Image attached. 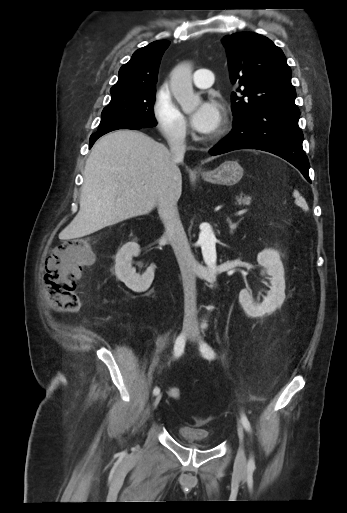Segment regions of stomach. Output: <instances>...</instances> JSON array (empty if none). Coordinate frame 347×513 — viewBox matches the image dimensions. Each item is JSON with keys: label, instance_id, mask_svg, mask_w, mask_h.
I'll use <instances>...</instances> for the list:
<instances>
[{"label": "stomach", "instance_id": "1", "mask_svg": "<svg viewBox=\"0 0 347 513\" xmlns=\"http://www.w3.org/2000/svg\"><path fill=\"white\" fill-rule=\"evenodd\" d=\"M244 170L236 160H227L215 170L202 175L207 182L219 185L233 186L243 177Z\"/></svg>", "mask_w": 347, "mask_h": 513}]
</instances>
